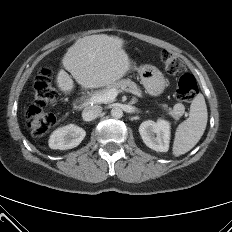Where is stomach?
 I'll return each mask as SVG.
<instances>
[{"label":"stomach","mask_w":232,"mask_h":232,"mask_svg":"<svg viewBox=\"0 0 232 232\" xmlns=\"http://www.w3.org/2000/svg\"><path fill=\"white\" fill-rule=\"evenodd\" d=\"M141 83L151 95H160L166 86L163 74L154 66L144 65L138 68Z\"/></svg>","instance_id":"1"}]
</instances>
